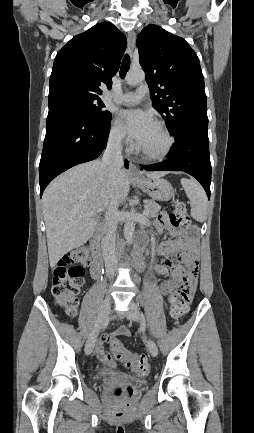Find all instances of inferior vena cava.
I'll list each match as a JSON object with an SVG mask.
<instances>
[{
    "label": "inferior vena cava",
    "instance_id": "obj_1",
    "mask_svg": "<svg viewBox=\"0 0 254 433\" xmlns=\"http://www.w3.org/2000/svg\"><path fill=\"white\" fill-rule=\"evenodd\" d=\"M122 138V135L111 137L102 157V164L108 167L110 174L113 176H115L123 167ZM118 205V201L112 202L105 214L106 233L102 239L103 258L110 280L115 276L118 264L115 248Z\"/></svg>",
    "mask_w": 254,
    "mask_h": 433
}]
</instances>
